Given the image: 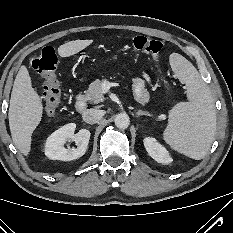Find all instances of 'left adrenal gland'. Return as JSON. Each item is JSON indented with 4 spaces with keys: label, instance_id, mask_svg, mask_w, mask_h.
<instances>
[{
    "label": "left adrenal gland",
    "instance_id": "1",
    "mask_svg": "<svg viewBox=\"0 0 233 233\" xmlns=\"http://www.w3.org/2000/svg\"><path fill=\"white\" fill-rule=\"evenodd\" d=\"M136 114H137L138 116H141V115L150 116V114H149L148 112L142 111V110L136 111Z\"/></svg>",
    "mask_w": 233,
    "mask_h": 233
}]
</instances>
